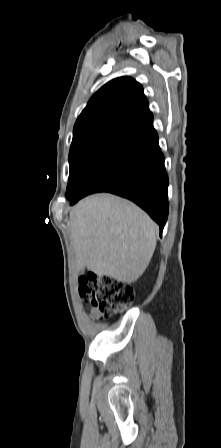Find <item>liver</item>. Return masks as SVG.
I'll return each instance as SVG.
<instances>
[{"label":"liver","mask_w":221,"mask_h":448,"mask_svg":"<svg viewBox=\"0 0 221 448\" xmlns=\"http://www.w3.org/2000/svg\"><path fill=\"white\" fill-rule=\"evenodd\" d=\"M78 268L135 282L156 247L157 225L134 203L101 193L77 203L68 222Z\"/></svg>","instance_id":"obj_1"}]
</instances>
